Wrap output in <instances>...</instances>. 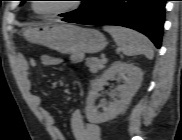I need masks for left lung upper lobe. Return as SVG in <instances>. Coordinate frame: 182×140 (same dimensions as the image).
<instances>
[{
    "label": "left lung upper lobe",
    "mask_w": 182,
    "mask_h": 140,
    "mask_svg": "<svg viewBox=\"0 0 182 140\" xmlns=\"http://www.w3.org/2000/svg\"><path fill=\"white\" fill-rule=\"evenodd\" d=\"M100 1L101 0H85L81 5L80 9L70 13L61 14L60 16H63L65 18L86 16L98 6ZM24 2L25 0H22L21 4H23Z\"/></svg>",
    "instance_id": "5c2ea615"
}]
</instances>
